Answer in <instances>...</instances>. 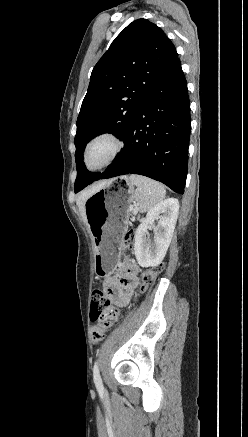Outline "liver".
Here are the masks:
<instances>
[{"mask_svg":"<svg viewBox=\"0 0 248 437\" xmlns=\"http://www.w3.org/2000/svg\"><path fill=\"white\" fill-rule=\"evenodd\" d=\"M104 184H105V182L94 185L91 188H88L79 194V196L77 198V205L79 207V211H80L85 222H86L85 202L93 193H95L97 190H99Z\"/></svg>","mask_w":248,"mask_h":437,"instance_id":"6515ba94","label":"liver"}]
</instances>
